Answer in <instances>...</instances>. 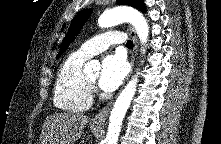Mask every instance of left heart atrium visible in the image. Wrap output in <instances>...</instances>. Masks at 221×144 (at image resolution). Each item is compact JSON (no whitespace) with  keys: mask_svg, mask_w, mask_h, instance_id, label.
Masks as SVG:
<instances>
[{"mask_svg":"<svg viewBox=\"0 0 221 144\" xmlns=\"http://www.w3.org/2000/svg\"><path fill=\"white\" fill-rule=\"evenodd\" d=\"M127 74L125 59L119 54L104 57L99 77V86L106 92L117 89Z\"/></svg>","mask_w":221,"mask_h":144,"instance_id":"1","label":"left heart atrium"}]
</instances>
